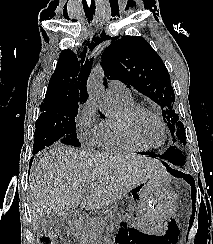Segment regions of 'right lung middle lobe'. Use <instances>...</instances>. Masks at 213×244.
I'll return each mask as SVG.
<instances>
[{
  "label": "right lung middle lobe",
  "mask_w": 213,
  "mask_h": 244,
  "mask_svg": "<svg viewBox=\"0 0 213 244\" xmlns=\"http://www.w3.org/2000/svg\"><path fill=\"white\" fill-rule=\"evenodd\" d=\"M40 110L43 112L35 124L33 151H40L58 140L80 146L75 122L78 103H42Z\"/></svg>",
  "instance_id": "dd1d6c3e"
}]
</instances>
